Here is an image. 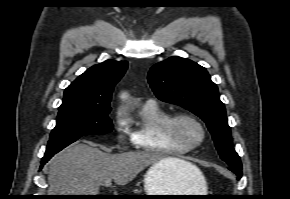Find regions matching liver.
<instances>
[{"mask_svg": "<svg viewBox=\"0 0 290 199\" xmlns=\"http://www.w3.org/2000/svg\"><path fill=\"white\" fill-rule=\"evenodd\" d=\"M156 163L164 164L169 172L187 180L200 173L195 165L179 158L146 151L112 155L96 148L92 142H76L51 159L48 195H97L99 186L106 181L126 185Z\"/></svg>", "mask_w": 290, "mask_h": 199, "instance_id": "liver-1", "label": "liver"}]
</instances>
